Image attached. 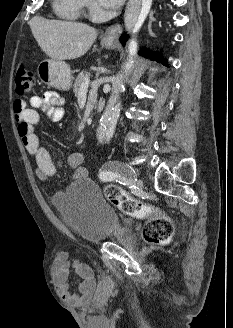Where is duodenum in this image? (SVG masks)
<instances>
[{
  "instance_id": "obj_1",
  "label": "duodenum",
  "mask_w": 233,
  "mask_h": 328,
  "mask_svg": "<svg viewBox=\"0 0 233 328\" xmlns=\"http://www.w3.org/2000/svg\"><path fill=\"white\" fill-rule=\"evenodd\" d=\"M105 107V100L104 99H99L96 103V110L97 111H102Z\"/></svg>"
}]
</instances>
